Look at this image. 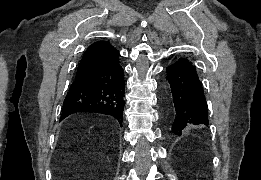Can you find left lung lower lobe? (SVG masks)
<instances>
[{
    "label": "left lung lower lobe",
    "mask_w": 261,
    "mask_h": 180,
    "mask_svg": "<svg viewBox=\"0 0 261 180\" xmlns=\"http://www.w3.org/2000/svg\"><path fill=\"white\" fill-rule=\"evenodd\" d=\"M174 114L171 133L175 136L195 127L208 126V107L195 66L180 58L166 68Z\"/></svg>",
    "instance_id": "0a47b994"
}]
</instances>
